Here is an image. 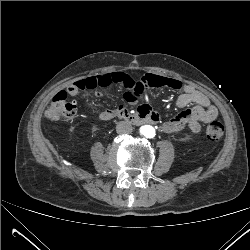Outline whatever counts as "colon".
Segmentation results:
<instances>
[{"label": "colon", "instance_id": "1", "mask_svg": "<svg viewBox=\"0 0 250 250\" xmlns=\"http://www.w3.org/2000/svg\"><path fill=\"white\" fill-rule=\"evenodd\" d=\"M131 82L135 83L137 90L142 91L143 89H149L151 87L163 86L166 79L158 75L147 74L142 77L139 82H136L130 74L119 71L82 79L68 86L66 90L55 94L45 115L53 121L71 119L75 117L77 113V105L74 101L68 99L69 95H75L80 90L108 87L112 84H123L129 88ZM223 133L224 128L219 121H212L206 130V136L211 141L219 140L223 136Z\"/></svg>", "mask_w": 250, "mask_h": 250}]
</instances>
